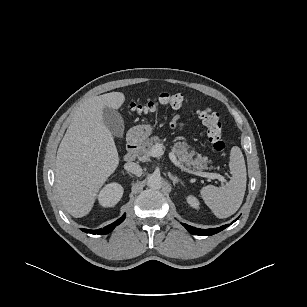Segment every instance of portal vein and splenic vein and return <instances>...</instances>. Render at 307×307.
Here are the masks:
<instances>
[{
  "label": "portal vein and splenic vein",
  "instance_id": "1",
  "mask_svg": "<svg viewBox=\"0 0 307 307\" xmlns=\"http://www.w3.org/2000/svg\"><path fill=\"white\" fill-rule=\"evenodd\" d=\"M163 154H164L163 146L160 143L155 144L153 146L151 152H150V156H152V157H159V156H162ZM169 158L176 166L180 167L181 169H183V170H185L189 173H193V174H196L198 176L206 177V178H209V179H218L221 182L226 181L225 178L222 175L217 174V173L197 172V171L194 172L192 170L187 169L186 167L181 165V163L177 160L176 155L173 152H169Z\"/></svg>",
  "mask_w": 307,
  "mask_h": 307
}]
</instances>
